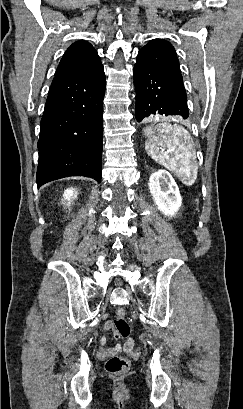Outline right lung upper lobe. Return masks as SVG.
<instances>
[{
	"label": "right lung upper lobe",
	"instance_id": "obj_1",
	"mask_svg": "<svg viewBox=\"0 0 243 409\" xmlns=\"http://www.w3.org/2000/svg\"><path fill=\"white\" fill-rule=\"evenodd\" d=\"M102 66L93 46L85 41L73 43L64 53L56 70L57 76H85Z\"/></svg>",
	"mask_w": 243,
	"mask_h": 409
}]
</instances>
